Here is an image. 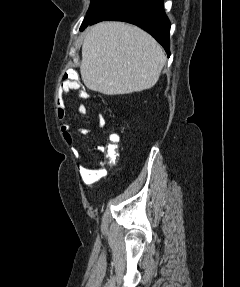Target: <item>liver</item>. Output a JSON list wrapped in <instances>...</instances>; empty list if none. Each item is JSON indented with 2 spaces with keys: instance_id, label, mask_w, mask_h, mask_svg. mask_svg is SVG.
Listing matches in <instances>:
<instances>
[{
  "instance_id": "liver-1",
  "label": "liver",
  "mask_w": 240,
  "mask_h": 287,
  "mask_svg": "<svg viewBox=\"0 0 240 287\" xmlns=\"http://www.w3.org/2000/svg\"><path fill=\"white\" fill-rule=\"evenodd\" d=\"M165 62L162 47L139 27L102 22L85 35L80 73L88 89L122 95L152 88Z\"/></svg>"
}]
</instances>
